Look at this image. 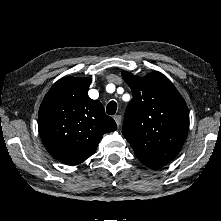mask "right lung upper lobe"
<instances>
[{
	"label": "right lung upper lobe",
	"mask_w": 221,
	"mask_h": 221,
	"mask_svg": "<svg viewBox=\"0 0 221 221\" xmlns=\"http://www.w3.org/2000/svg\"><path fill=\"white\" fill-rule=\"evenodd\" d=\"M90 78L64 77L45 95L39 108L42 142L55 159L77 165L97 149L105 133L117 129L103 105L88 96Z\"/></svg>",
	"instance_id": "1"
}]
</instances>
